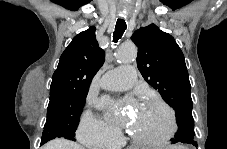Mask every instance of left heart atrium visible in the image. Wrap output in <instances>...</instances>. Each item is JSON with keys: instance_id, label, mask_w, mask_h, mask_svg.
<instances>
[{"instance_id": "obj_1", "label": "left heart atrium", "mask_w": 227, "mask_h": 149, "mask_svg": "<svg viewBox=\"0 0 227 149\" xmlns=\"http://www.w3.org/2000/svg\"><path fill=\"white\" fill-rule=\"evenodd\" d=\"M107 104V100L106 99H102V100H100V102H99V105L100 106H104V105H106Z\"/></svg>"}]
</instances>
